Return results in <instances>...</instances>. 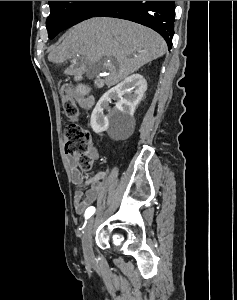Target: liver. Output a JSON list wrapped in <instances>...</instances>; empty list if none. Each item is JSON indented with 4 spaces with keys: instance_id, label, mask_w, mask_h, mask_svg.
<instances>
[{
    "instance_id": "obj_1",
    "label": "liver",
    "mask_w": 237,
    "mask_h": 300,
    "mask_svg": "<svg viewBox=\"0 0 237 300\" xmlns=\"http://www.w3.org/2000/svg\"><path fill=\"white\" fill-rule=\"evenodd\" d=\"M166 51L164 39L152 29L122 19L95 17L69 29L48 61L61 65L72 59L65 75H84L90 65L99 63V71L106 67L109 75L98 85L113 87Z\"/></svg>"
}]
</instances>
